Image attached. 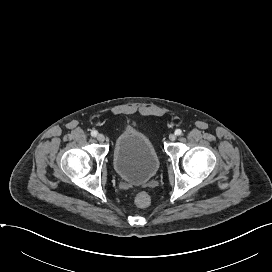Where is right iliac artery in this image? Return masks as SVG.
Masks as SVG:
<instances>
[{
  "label": "right iliac artery",
  "mask_w": 272,
  "mask_h": 272,
  "mask_svg": "<svg viewBox=\"0 0 272 272\" xmlns=\"http://www.w3.org/2000/svg\"><path fill=\"white\" fill-rule=\"evenodd\" d=\"M97 134H98V132H97V131H95V130H93V131L91 132V136H93V137H96V136H97Z\"/></svg>",
  "instance_id": "right-iliac-artery-1"
}]
</instances>
